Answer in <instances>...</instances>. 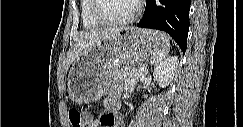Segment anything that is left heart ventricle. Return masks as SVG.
Listing matches in <instances>:
<instances>
[{
	"instance_id": "obj_1",
	"label": "left heart ventricle",
	"mask_w": 243,
	"mask_h": 127,
	"mask_svg": "<svg viewBox=\"0 0 243 127\" xmlns=\"http://www.w3.org/2000/svg\"><path fill=\"white\" fill-rule=\"evenodd\" d=\"M136 8L135 0H100V12L108 19L130 16Z\"/></svg>"
}]
</instances>
